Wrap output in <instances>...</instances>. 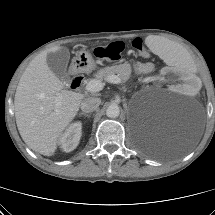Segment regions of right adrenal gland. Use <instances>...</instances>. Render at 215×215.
Listing matches in <instances>:
<instances>
[{
  "instance_id": "right-adrenal-gland-1",
  "label": "right adrenal gland",
  "mask_w": 215,
  "mask_h": 215,
  "mask_svg": "<svg viewBox=\"0 0 215 215\" xmlns=\"http://www.w3.org/2000/svg\"><path fill=\"white\" fill-rule=\"evenodd\" d=\"M79 116H85V117H88V118H90V114H87V113H84V112H81V113H79Z\"/></svg>"
}]
</instances>
